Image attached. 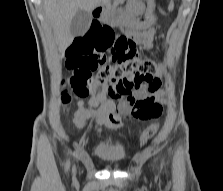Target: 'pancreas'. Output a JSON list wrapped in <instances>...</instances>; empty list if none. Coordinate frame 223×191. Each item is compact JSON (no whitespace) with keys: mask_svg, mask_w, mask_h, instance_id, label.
<instances>
[{"mask_svg":"<svg viewBox=\"0 0 223 191\" xmlns=\"http://www.w3.org/2000/svg\"><path fill=\"white\" fill-rule=\"evenodd\" d=\"M119 1H120V0L115 1V2L112 4V7H116V6L118 5Z\"/></svg>","mask_w":223,"mask_h":191,"instance_id":"cf45deb5","label":"pancreas"}]
</instances>
